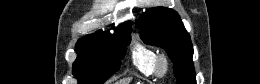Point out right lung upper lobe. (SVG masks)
I'll return each instance as SVG.
<instances>
[{
    "label": "right lung upper lobe",
    "instance_id": "right-lung-upper-lobe-1",
    "mask_svg": "<svg viewBox=\"0 0 260 84\" xmlns=\"http://www.w3.org/2000/svg\"><path fill=\"white\" fill-rule=\"evenodd\" d=\"M128 32H131V24H130V22H126V23L121 24L116 29V31H115V33L113 35H125ZM113 35H111L109 33H104V32H97L95 34L87 35V36L81 38L77 42L76 46L84 45V44H87V43H90V42H94V41H97L99 39H103V38H106V37H109V36H113Z\"/></svg>",
    "mask_w": 260,
    "mask_h": 84
}]
</instances>
